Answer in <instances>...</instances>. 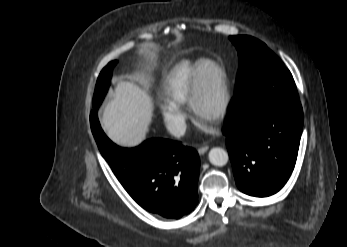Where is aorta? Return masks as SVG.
I'll list each match as a JSON object with an SVG mask.
<instances>
[{"label":"aorta","instance_id":"aorta-1","mask_svg":"<svg viewBox=\"0 0 347 247\" xmlns=\"http://www.w3.org/2000/svg\"><path fill=\"white\" fill-rule=\"evenodd\" d=\"M209 161L215 166H224L229 160L228 153L220 147H214L209 151Z\"/></svg>","mask_w":347,"mask_h":247}]
</instances>
